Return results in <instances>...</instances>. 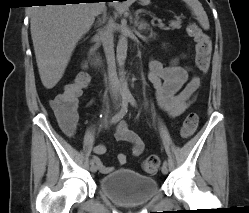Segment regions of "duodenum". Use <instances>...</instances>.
Returning <instances> with one entry per match:
<instances>
[{
	"label": "duodenum",
	"instance_id": "duodenum-1",
	"mask_svg": "<svg viewBox=\"0 0 249 213\" xmlns=\"http://www.w3.org/2000/svg\"><path fill=\"white\" fill-rule=\"evenodd\" d=\"M90 62L95 67H99L101 65V59L97 54L95 47H91L89 50Z\"/></svg>",
	"mask_w": 249,
	"mask_h": 213
}]
</instances>
